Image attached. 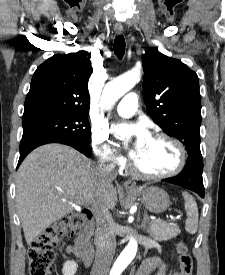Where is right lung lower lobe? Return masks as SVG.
I'll list each match as a JSON object with an SVG mask.
<instances>
[{"label":"right lung lower lobe","instance_id":"obj_1","mask_svg":"<svg viewBox=\"0 0 225 275\" xmlns=\"http://www.w3.org/2000/svg\"><path fill=\"white\" fill-rule=\"evenodd\" d=\"M47 143H61L69 145L76 150L80 151L81 153L85 154L87 157L92 156V151L89 145H83L78 142L69 140L67 138H60V137H53V136H46V135H30L26 137H22L20 143V158L17 165L21 164L23 159L38 146L47 144Z\"/></svg>","mask_w":225,"mask_h":275}]
</instances>
